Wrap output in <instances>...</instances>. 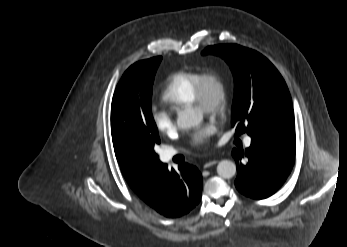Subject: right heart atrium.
Wrapping results in <instances>:
<instances>
[{
	"label": "right heart atrium",
	"mask_w": 347,
	"mask_h": 247,
	"mask_svg": "<svg viewBox=\"0 0 347 247\" xmlns=\"http://www.w3.org/2000/svg\"><path fill=\"white\" fill-rule=\"evenodd\" d=\"M151 120L156 130L164 135H170L175 131L176 126L172 116L163 109L152 110Z\"/></svg>",
	"instance_id": "d8ad5b80"
}]
</instances>
